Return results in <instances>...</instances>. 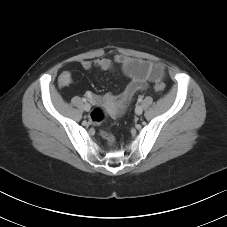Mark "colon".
<instances>
[{
	"instance_id": "colon-1",
	"label": "colon",
	"mask_w": 227,
	"mask_h": 227,
	"mask_svg": "<svg viewBox=\"0 0 227 227\" xmlns=\"http://www.w3.org/2000/svg\"><path fill=\"white\" fill-rule=\"evenodd\" d=\"M154 87L155 90L160 94L165 91V84L161 81H157ZM90 120L96 126H103L105 122V113L103 109L100 107L95 108L91 113ZM101 134L103 139L107 142L109 146H114L115 138L107 128L104 127Z\"/></svg>"
}]
</instances>
